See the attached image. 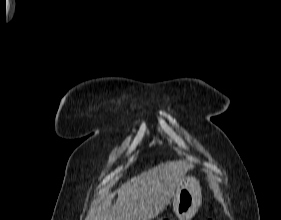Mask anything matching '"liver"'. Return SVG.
<instances>
[{
	"label": "liver",
	"instance_id": "6515ba94",
	"mask_svg": "<svg viewBox=\"0 0 281 220\" xmlns=\"http://www.w3.org/2000/svg\"><path fill=\"white\" fill-rule=\"evenodd\" d=\"M191 165L168 161L149 169L110 193L91 220H152L169 204ZM116 203L111 206L114 196Z\"/></svg>",
	"mask_w": 281,
	"mask_h": 220
}]
</instances>
